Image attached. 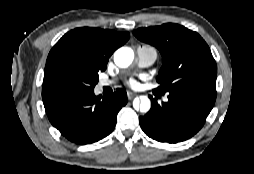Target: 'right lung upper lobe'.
Returning <instances> with one entry per match:
<instances>
[{
    "label": "right lung upper lobe",
    "mask_w": 254,
    "mask_h": 174,
    "mask_svg": "<svg viewBox=\"0 0 254 174\" xmlns=\"http://www.w3.org/2000/svg\"><path fill=\"white\" fill-rule=\"evenodd\" d=\"M128 32L82 27L67 32L51 49L45 66L68 59L96 71H104L109 57L129 39Z\"/></svg>",
    "instance_id": "1"
}]
</instances>
